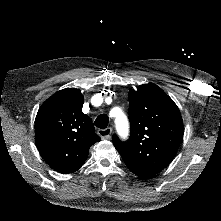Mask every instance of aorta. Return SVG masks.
Segmentation results:
<instances>
[{
	"mask_svg": "<svg viewBox=\"0 0 221 221\" xmlns=\"http://www.w3.org/2000/svg\"><path fill=\"white\" fill-rule=\"evenodd\" d=\"M115 123H116V128L118 130H120V129L126 130L128 128V120H127L125 114H123V113H120L118 115V117L116 118Z\"/></svg>",
	"mask_w": 221,
	"mask_h": 221,
	"instance_id": "762f6f07",
	"label": "aorta"
}]
</instances>
